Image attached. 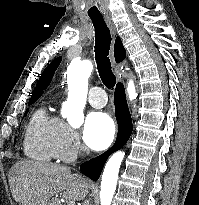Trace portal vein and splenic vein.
I'll return each instance as SVG.
<instances>
[{"label": "portal vein and splenic vein", "instance_id": "18ae733b", "mask_svg": "<svg viewBox=\"0 0 199 205\" xmlns=\"http://www.w3.org/2000/svg\"><path fill=\"white\" fill-rule=\"evenodd\" d=\"M68 205H75V203L74 202H69V204Z\"/></svg>", "mask_w": 199, "mask_h": 205}]
</instances>
